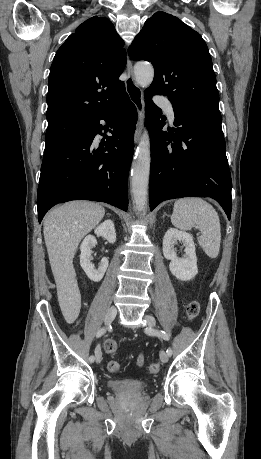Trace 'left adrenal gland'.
<instances>
[{"label": "left adrenal gland", "instance_id": "a2214340", "mask_svg": "<svg viewBox=\"0 0 261 459\" xmlns=\"http://www.w3.org/2000/svg\"><path fill=\"white\" fill-rule=\"evenodd\" d=\"M165 216H168V215L165 213V214L163 215V218H164Z\"/></svg>", "mask_w": 261, "mask_h": 459}]
</instances>
